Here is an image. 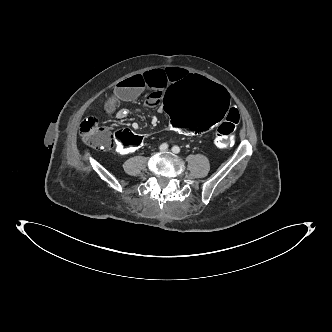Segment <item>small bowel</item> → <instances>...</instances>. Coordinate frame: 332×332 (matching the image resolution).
Wrapping results in <instances>:
<instances>
[{"mask_svg": "<svg viewBox=\"0 0 332 332\" xmlns=\"http://www.w3.org/2000/svg\"><path fill=\"white\" fill-rule=\"evenodd\" d=\"M187 75L191 74L180 67L151 69L133 75L120 81L112 89L104 103V110L107 114H116L119 119H122L125 114L118 110L119 104L136 99L145 90H150L145 104L148 107H153L159 103L166 89ZM234 112L238 113L236 109H234ZM132 128L136 131L141 129L137 123H133Z\"/></svg>", "mask_w": 332, "mask_h": 332, "instance_id": "1", "label": "small bowel"}]
</instances>
